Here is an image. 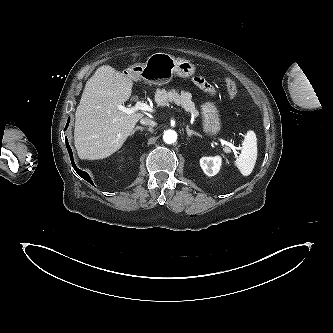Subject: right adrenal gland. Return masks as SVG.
<instances>
[{
    "label": "right adrenal gland",
    "mask_w": 333,
    "mask_h": 333,
    "mask_svg": "<svg viewBox=\"0 0 333 333\" xmlns=\"http://www.w3.org/2000/svg\"><path fill=\"white\" fill-rule=\"evenodd\" d=\"M143 129H144V127H142V126H137V127L131 132L130 136H132L137 130L142 131Z\"/></svg>",
    "instance_id": "obj_1"
}]
</instances>
